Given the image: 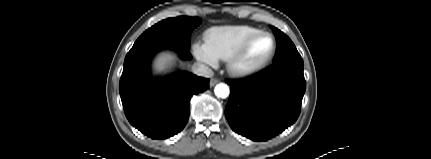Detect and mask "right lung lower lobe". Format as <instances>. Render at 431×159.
Here are the masks:
<instances>
[{
	"instance_id": "98d812e1",
	"label": "right lung lower lobe",
	"mask_w": 431,
	"mask_h": 159,
	"mask_svg": "<svg viewBox=\"0 0 431 159\" xmlns=\"http://www.w3.org/2000/svg\"><path fill=\"white\" fill-rule=\"evenodd\" d=\"M166 48L185 59L192 57L189 49L171 42L135 45L126 55L120 79V96L128 121L152 139H167L181 132L189 118L191 97L205 91L209 83V79L186 71L153 77L151 60Z\"/></svg>"
}]
</instances>
